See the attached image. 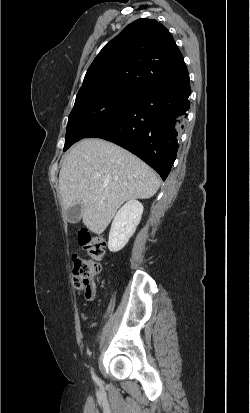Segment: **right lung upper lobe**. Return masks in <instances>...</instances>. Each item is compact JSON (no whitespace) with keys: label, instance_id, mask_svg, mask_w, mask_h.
Returning a JSON list of instances; mask_svg holds the SVG:
<instances>
[{"label":"right lung upper lobe","instance_id":"1","mask_svg":"<svg viewBox=\"0 0 250 413\" xmlns=\"http://www.w3.org/2000/svg\"><path fill=\"white\" fill-rule=\"evenodd\" d=\"M189 80L184 58L170 32L154 19H138L107 43L87 70L80 90L125 85L141 92Z\"/></svg>","mask_w":250,"mask_h":413}]
</instances>
